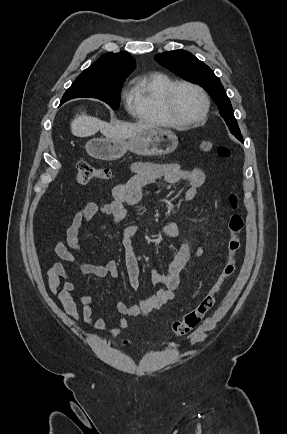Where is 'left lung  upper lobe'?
I'll return each instance as SVG.
<instances>
[{
  "label": "left lung upper lobe",
  "mask_w": 287,
  "mask_h": 434,
  "mask_svg": "<svg viewBox=\"0 0 287 434\" xmlns=\"http://www.w3.org/2000/svg\"><path fill=\"white\" fill-rule=\"evenodd\" d=\"M155 60L179 77L203 87L217 104L220 115L231 133L240 141L242 135L223 85L214 72L202 61L185 50H173L157 54Z\"/></svg>",
  "instance_id": "1"
}]
</instances>
